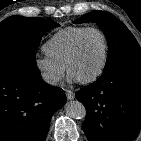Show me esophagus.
<instances>
[{"mask_svg": "<svg viewBox=\"0 0 141 141\" xmlns=\"http://www.w3.org/2000/svg\"><path fill=\"white\" fill-rule=\"evenodd\" d=\"M65 93L68 100H73L75 98V94L72 91L66 90Z\"/></svg>", "mask_w": 141, "mask_h": 141, "instance_id": "34e87169", "label": "esophagus"}]
</instances>
